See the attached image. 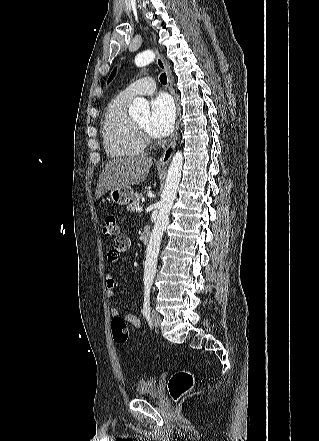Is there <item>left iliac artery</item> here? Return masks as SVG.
Returning <instances> with one entry per match:
<instances>
[{"label":"left iliac artery","instance_id":"1","mask_svg":"<svg viewBox=\"0 0 319 441\" xmlns=\"http://www.w3.org/2000/svg\"><path fill=\"white\" fill-rule=\"evenodd\" d=\"M143 315L147 319L150 317V291L149 290H145V293H144Z\"/></svg>","mask_w":319,"mask_h":441}]
</instances>
